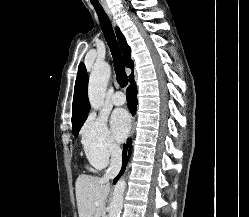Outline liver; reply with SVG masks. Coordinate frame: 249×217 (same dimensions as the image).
<instances>
[{
    "label": "liver",
    "instance_id": "obj_1",
    "mask_svg": "<svg viewBox=\"0 0 249 217\" xmlns=\"http://www.w3.org/2000/svg\"><path fill=\"white\" fill-rule=\"evenodd\" d=\"M75 191L79 217H103L110 191L107 181L81 174L76 180Z\"/></svg>",
    "mask_w": 249,
    "mask_h": 217
}]
</instances>
